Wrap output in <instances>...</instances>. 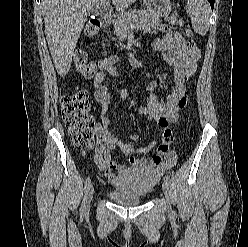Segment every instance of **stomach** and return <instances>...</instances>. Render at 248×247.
<instances>
[{
	"instance_id": "obj_1",
	"label": "stomach",
	"mask_w": 248,
	"mask_h": 247,
	"mask_svg": "<svg viewBox=\"0 0 248 247\" xmlns=\"http://www.w3.org/2000/svg\"><path fill=\"white\" fill-rule=\"evenodd\" d=\"M149 11L165 16L171 11L170 0H143Z\"/></svg>"
}]
</instances>
